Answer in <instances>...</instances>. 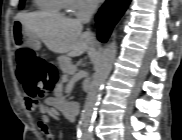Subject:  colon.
I'll list each match as a JSON object with an SVG mask.
<instances>
[{"label": "colon", "mask_w": 182, "mask_h": 140, "mask_svg": "<svg viewBox=\"0 0 182 140\" xmlns=\"http://www.w3.org/2000/svg\"><path fill=\"white\" fill-rule=\"evenodd\" d=\"M17 75L22 82L27 98L33 103L45 96L52 87L56 72L54 67L32 49L17 52Z\"/></svg>", "instance_id": "5ec220e1"}]
</instances>
